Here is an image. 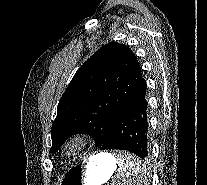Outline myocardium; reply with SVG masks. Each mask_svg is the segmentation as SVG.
<instances>
[{
  "label": "myocardium",
  "instance_id": "f54148a6",
  "mask_svg": "<svg viewBox=\"0 0 207 185\" xmlns=\"http://www.w3.org/2000/svg\"><path fill=\"white\" fill-rule=\"evenodd\" d=\"M90 145V138L86 133H76L68 138L61 147L62 154L70 159L82 155Z\"/></svg>",
  "mask_w": 207,
  "mask_h": 185
}]
</instances>
